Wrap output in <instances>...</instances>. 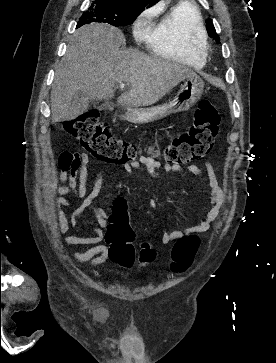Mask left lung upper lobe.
<instances>
[{
    "instance_id": "left-lung-upper-lobe-1",
    "label": "left lung upper lobe",
    "mask_w": 276,
    "mask_h": 363,
    "mask_svg": "<svg viewBox=\"0 0 276 363\" xmlns=\"http://www.w3.org/2000/svg\"><path fill=\"white\" fill-rule=\"evenodd\" d=\"M206 22H207L206 28H207V31H208L209 35L212 36L213 38H215L217 42H219L220 38H219V36L217 35V33L215 31L212 20L207 19Z\"/></svg>"
}]
</instances>
